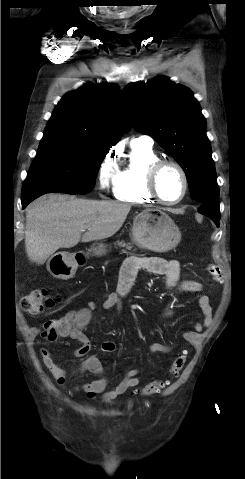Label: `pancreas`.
I'll return each instance as SVG.
<instances>
[{"label": "pancreas", "instance_id": "1", "mask_svg": "<svg viewBox=\"0 0 245 479\" xmlns=\"http://www.w3.org/2000/svg\"><path fill=\"white\" fill-rule=\"evenodd\" d=\"M115 245H118L119 247H126L128 250L132 248V246L128 243H125L124 241H117Z\"/></svg>", "mask_w": 245, "mask_h": 479}]
</instances>
